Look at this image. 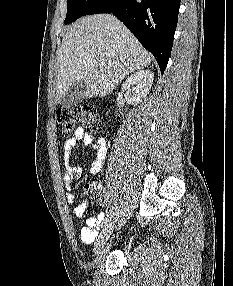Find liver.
Listing matches in <instances>:
<instances>
[{"mask_svg": "<svg viewBox=\"0 0 233 286\" xmlns=\"http://www.w3.org/2000/svg\"><path fill=\"white\" fill-rule=\"evenodd\" d=\"M151 54L113 15L80 18L70 26L58 50L56 99L60 104L71 85L87 83L84 98L103 97L129 73L147 67ZM104 63L103 69H98Z\"/></svg>", "mask_w": 233, "mask_h": 286, "instance_id": "obj_1", "label": "liver"}]
</instances>
